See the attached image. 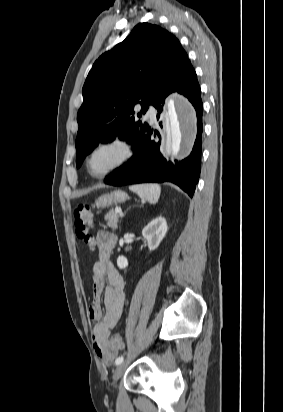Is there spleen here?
<instances>
[{
  "label": "spleen",
  "mask_w": 283,
  "mask_h": 412,
  "mask_svg": "<svg viewBox=\"0 0 283 412\" xmlns=\"http://www.w3.org/2000/svg\"><path fill=\"white\" fill-rule=\"evenodd\" d=\"M129 189L135 192L143 201H148L151 204L158 202L161 193V187L158 184L132 185Z\"/></svg>",
  "instance_id": "spleen-1"
}]
</instances>
